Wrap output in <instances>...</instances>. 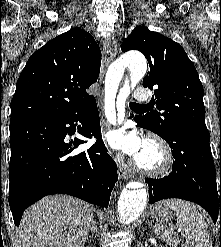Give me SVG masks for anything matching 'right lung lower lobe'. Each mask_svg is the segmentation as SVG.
Masks as SVG:
<instances>
[{"label":"right lung lower lobe","mask_w":221,"mask_h":247,"mask_svg":"<svg viewBox=\"0 0 221 247\" xmlns=\"http://www.w3.org/2000/svg\"><path fill=\"white\" fill-rule=\"evenodd\" d=\"M75 122L84 124L80 134L97 139L79 154L72 151L86 141L66 139L76 131ZM10 147L9 205L16 226L25 209L51 194H68L108 207L118 175L102 141L95 98L64 118L10 125Z\"/></svg>","instance_id":"98d812e1"}]
</instances>
